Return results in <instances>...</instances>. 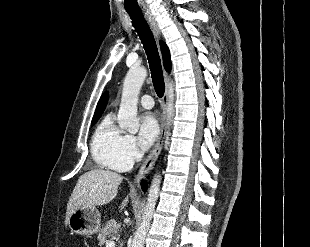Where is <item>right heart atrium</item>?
<instances>
[{
  "mask_svg": "<svg viewBox=\"0 0 310 247\" xmlns=\"http://www.w3.org/2000/svg\"><path fill=\"white\" fill-rule=\"evenodd\" d=\"M139 151L136 138L130 134H123L117 148L114 165L118 170L128 169L139 157Z\"/></svg>",
  "mask_w": 310,
  "mask_h": 247,
  "instance_id": "obj_1",
  "label": "right heart atrium"
}]
</instances>
